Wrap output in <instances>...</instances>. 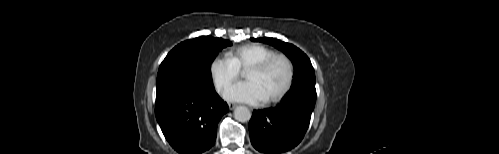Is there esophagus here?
<instances>
[{
	"instance_id": "esophagus-1",
	"label": "esophagus",
	"mask_w": 499,
	"mask_h": 154,
	"mask_svg": "<svg viewBox=\"0 0 499 154\" xmlns=\"http://www.w3.org/2000/svg\"><path fill=\"white\" fill-rule=\"evenodd\" d=\"M228 106H229L230 110H233V109H235L237 107V104H235V103H229Z\"/></svg>"
}]
</instances>
